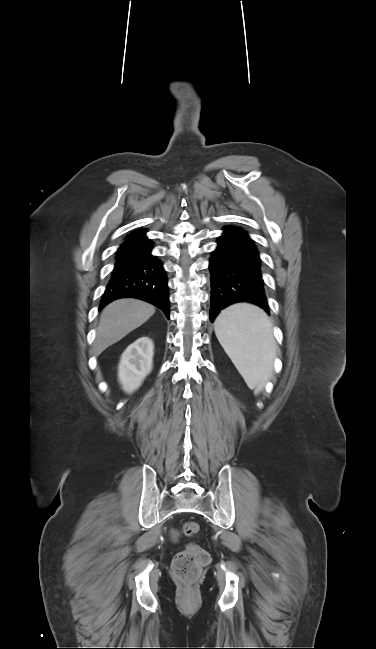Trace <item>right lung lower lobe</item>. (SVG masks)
<instances>
[{
	"mask_svg": "<svg viewBox=\"0 0 376 649\" xmlns=\"http://www.w3.org/2000/svg\"><path fill=\"white\" fill-rule=\"evenodd\" d=\"M145 234L144 229L130 234L118 249L99 309L116 299L133 297L157 306L169 318L166 271L157 256L151 254L152 241Z\"/></svg>",
	"mask_w": 376,
	"mask_h": 649,
	"instance_id": "1",
	"label": "right lung lower lobe"
}]
</instances>
